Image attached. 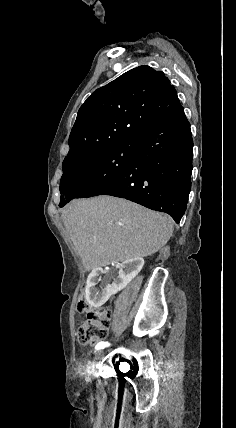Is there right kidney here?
<instances>
[{
	"instance_id": "1",
	"label": "right kidney",
	"mask_w": 236,
	"mask_h": 428,
	"mask_svg": "<svg viewBox=\"0 0 236 428\" xmlns=\"http://www.w3.org/2000/svg\"><path fill=\"white\" fill-rule=\"evenodd\" d=\"M144 266V260L141 256H133L130 260H125L122 262L119 270V276L115 282L113 283H96L97 278H103L105 272L103 269H91L89 276L87 278L86 284V300L88 304L91 306H102L106 302V293L111 292V294H116V292H120L123 288H126L129 282H132L133 278L141 272ZM95 289L96 292H93ZM92 294V298H90V294Z\"/></svg>"
}]
</instances>
